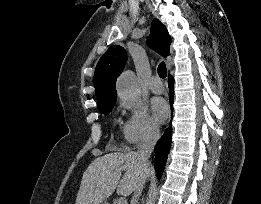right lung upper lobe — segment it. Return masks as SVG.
<instances>
[{
  "instance_id": "cb5924a9",
  "label": "right lung upper lobe",
  "mask_w": 261,
  "mask_h": 204,
  "mask_svg": "<svg viewBox=\"0 0 261 204\" xmlns=\"http://www.w3.org/2000/svg\"><path fill=\"white\" fill-rule=\"evenodd\" d=\"M148 43L161 56L166 57L170 54L169 46L171 38L166 27L158 19H154L152 22ZM126 61V51L120 45L110 47L100 58L94 74L97 105L116 102L115 82L122 72Z\"/></svg>"
}]
</instances>
